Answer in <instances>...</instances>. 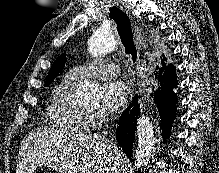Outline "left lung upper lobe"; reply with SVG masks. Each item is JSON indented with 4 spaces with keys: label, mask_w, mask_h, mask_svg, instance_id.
I'll list each match as a JSON object with an SVG mask.
<instances>
[{
    "label": "left lung upper lobe",
    "mask_w": 219,
    "mask_h": 173,
    "mask_svg": "<svg viewBox=\"0 0 219 173\" xmlns=\"http://www.w3.org/2000/svg\"><path fill=\"white\" fill-rule=\"evenodd\" d=\"M65 62H66L65 54H62L54 61L46 78L45 86H48L57 77V75L65 67Z\"/></svg>",
    "instance_id": "1"
}]
</instances>
